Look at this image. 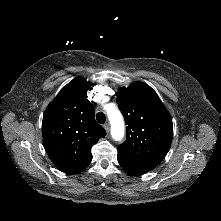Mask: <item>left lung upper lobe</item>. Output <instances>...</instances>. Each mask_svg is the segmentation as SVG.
<instances>
[{"label": "left lung upper lobe", "instance_id": "1", "mask_svg": "<svg viewBox=\"0 0 221 221\" xmlns=\"http://www.w3.org/2000/svg\"><path fill=\"white\" fill-rule=\"evenodd\" d=\"M117 103L127 125L126 141L118 146V152L154 169L172 142L173 124L168 110L157 93L140 81L120 88Z\"/></svg>", "mask_w": 221, "mask_h": 221}]
</instances>
